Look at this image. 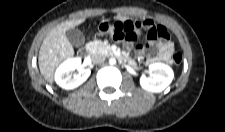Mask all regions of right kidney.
Listing matches in <instances>:
<instances>
[{"instance_id":"right-kidney-1","label":"right kidney","mask_w":225,"mask_h":132,"mask_svg":"<svg viewBox=\"0 0 225 132\" xmlns=\"http://www.w3.org/2000/svg\"><path fill=\"white\" fill-rule=\"evenodd\" d=\"M75 70L78 72L75 73ZM91 74L89 68L81 66L80 58H73L63 62L55 73L56 83L66 90L77 88L85 82Z\"/></svg>"}]
</instances>
